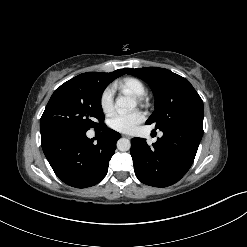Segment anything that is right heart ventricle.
<instances>
[{
    "instance_id": "1",
    "label": "right heart ventricle",
    "mask_w": 247,
    "mask_h": 247,
    "mask_svg": "<svg viewBox=\"0 0 247 247\" xmlns=\"http://www.w3.org/2000/svg\"><path fill=\"white\" fill-rule=\"evenodd\" d=\"M118 87L135 97H143L145 94V86L141 80L135 77H126L122 81H120Z\"/></svg>"
}]
</instances>
